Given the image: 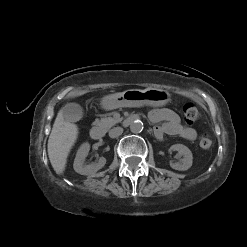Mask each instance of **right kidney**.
Masks as SVG:
<instances>
[{
    "instance_id": "obj_1",
    "label": "right kidney",
    "mask_w": 247,
    "mask_h": 247,
    "mask_svg": "<svg viewBox=\"0 0 247 247\" xmlns=\"http://www.w3.org/2000/svg\"><path fill=\"white\" fill-rule=\"evenodd\" d=\"M90 150L89 143H84L79 148L74 160V170L81 175H93L106 164V159L101 157L97 162L85 165L84 161Z\"/></svg>"
}]
</instances>
